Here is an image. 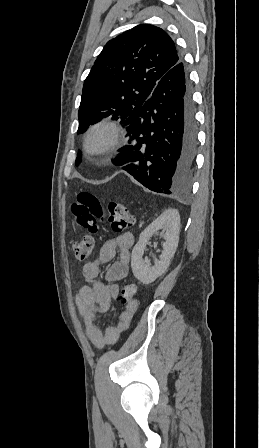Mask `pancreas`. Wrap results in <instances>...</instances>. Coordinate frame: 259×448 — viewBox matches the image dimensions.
Instances as JSON below:
<instances>
[{
  "label": "pancreas",
  "mask_w": 259,
  "mask_h": 448,
  "mask_svg": "<svg viewBox=\"0 0 259 448\" xmlns=\"http://www.w3.org/2000/svg\"><path fill=\"white\" fill-rule=\"evenodd\" d=\"M142 224H139V228H141Z\"/></svg>",
  "instance_id": "1"
}]
</instances>
